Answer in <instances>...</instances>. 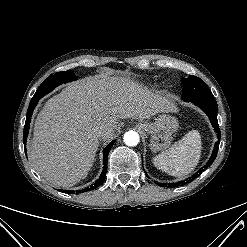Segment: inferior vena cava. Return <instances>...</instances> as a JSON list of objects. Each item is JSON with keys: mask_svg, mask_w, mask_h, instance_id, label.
<instances>
[{"mask_svg": "<svg viewBox=\"0 0 247 247\" xmlns=\"http://www.w3.org/2000/svg\"><path fill=\"white\" fill-rule=\"evenodd\" d=\"M106 132H107V130H106L105 128H102V127L96 128V129L94 130V134H95V136L98 137V138L104 137L105 134H106Z\"/></svg>", "mask_w": 247, "mask_h": 247, "instance_id": "602c4592", "label": "inferior vena cava"}]
</instances>
